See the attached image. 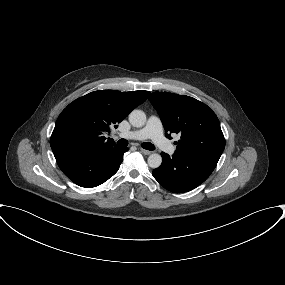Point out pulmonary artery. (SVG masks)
<instances>
[{
  "label": "pulmonary artery",
  "mask_w": 285,
  "mask_h": 285,
  "mask_svg": "<svg viewBox=\"0 0 285 285\" xmlns=\"http://www.w3.org/2000/svg\"><path fill=\"white\" fill-rule=\"evenodd\" d=\"M119 136L128 140L152 139L153 142L162 150L168 152L169 154L174 153V147L165 139L163 135L162 123L156 116H151L144 128L124 132Z\"/></svg>",
  "instance_id": "obj_1"
}]
</instances>
